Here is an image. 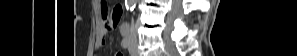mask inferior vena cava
I'll return each mask as SVG.
<instances>
[{
  "instance_id": "1",
  "label": "inferior vena cava",
  "mask_w": 297,
  "mask_h": 56,
  "mask_svg": "<svg viewBox=\"0 0 297 56\" xmlns=\"http://www.w3.org/2000/svg\"><path fill=\"white\" fill-rule=\"evenodd\" d=\"M133 25H134V21H133V19H132V24H131V37L133 38V39H136V33H135V30H134V28H133Z\"/></svg>"
}]
</instances>
